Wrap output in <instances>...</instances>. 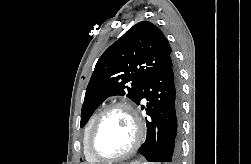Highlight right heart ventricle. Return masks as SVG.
I'll use <instances>...</instances> for the list:
<instances>
[{"label": "right heart ventricle", "mask_w": 251, "mask_h": 164, "mask_svg": "<svg viewBox=\"0 0 251 164\" xmlns=\"http://www.w3.org/2000/svg\"><path fill=\"white\" fill-rule=\"evenodd\" d=\"M101 111L98 110L96 111L94 114H92V116L89 118L88 122L85 125V129H84V135H83V144H84V155L86 157V160L90 163H95L97 162L95 159H93L87 150V140H88V136H89V132L91 130V127L95 121V119L97 118V116L99 115Z\"/></svg>", "instance_id": "e07e8e85"}]
</instances>
